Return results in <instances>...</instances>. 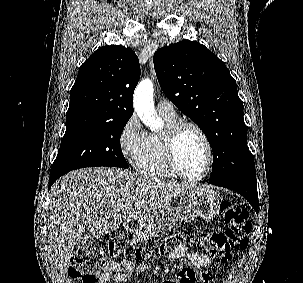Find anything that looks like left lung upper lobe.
I'll list each match as a JSON object with an SVG mask.
<instances>
[{
  "mask_svg": "<svg viewBox=\"0 0 303 283\" xmlns=\"http://www.w3.org/2000/svg\"><path fill=\"white\" fill-rule=\"evenodd\" d=\"M153 61L165 95L202 129L212 147L209 181L256 176L243 103L224 62L190 40L158 49Z\"/></svg>",
  "mask_w": 303,
  "mask_h": 283,
  "instance_id": "1",
  "label": "left lung upper lobe"
}]
</instances>
